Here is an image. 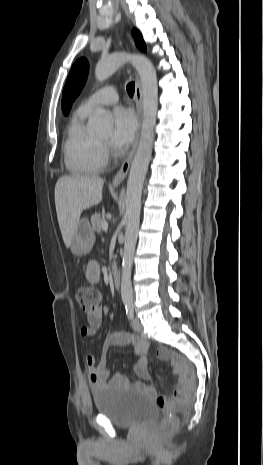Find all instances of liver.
Instances as JSON below:
<instances>
[{
	"label": "liver",
	"instance_id": "1",
	"mask_svg": "<svg viewBox=\"0 0 263 465\" xmlns=\"http://www.w3.org/2000/svg\"><path fill=\"white\" fill-rule=\"evenodd\" d=\"M104 180L94 175H67L55 185V206L64 244L67 248L83 210L102 201Z\"/></svg>",
	"mask_w": 263,
	"mask_h": 465
}]
</instances>
